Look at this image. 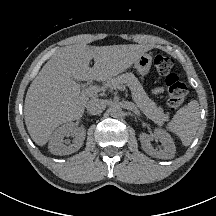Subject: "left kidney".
Instances as JSON below:
<instances>
[{
  "label": "left kidney",
  "mask_w": 216,
  "mask_h": 216,
  "mask_svg": "<svg viewBox=\"0 0 216 216\" xmlns=\"http://www.w3.org/2000/svg\"><path fill=\"white\" fill-rule=\"evenodd\" d=\"M141 146L143 150L150 156L160 158V159H171L175 155V144L171 136L162 129H155L152 135H148L146 133H142L139 136ZM153 139H158L163 146V150H155L152 145L151 141Z\"/></svg>",
  "instance_id": "left-kidney-1"
}]
</instances>
